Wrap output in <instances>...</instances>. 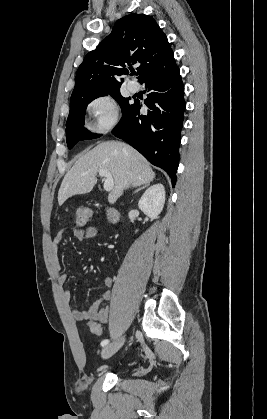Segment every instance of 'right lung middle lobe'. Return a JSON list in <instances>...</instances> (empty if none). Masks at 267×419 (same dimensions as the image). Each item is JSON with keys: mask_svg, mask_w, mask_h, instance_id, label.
I'll use <instances>...</instances> for the list:
<instances>
[{"mask_svg": "<svg viewBox=\"0 0 267 419\" xmlns=\"http://www.w3.org/2000/svg\"><path fill=\"white\" fill-rule=\"evenodd\" d=\"M108 94H110L119 103L122 110V116L131 107L132 104L129 103L130 98L122 97L120 90L89 95L81 99L71 101L70 112L66 123V141L69 149H71L79 140L94 139L100 136L90 133L84 128V115L87 105L92 100Z\"/></svg>", "mask_w": 267, "mask_h": 419, "instance_id": "dd1d6c3e", "label": "right lung middle lobe"}]
</instances>
